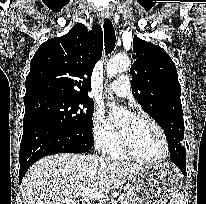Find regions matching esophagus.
Returning a JSON list of instances; mask_svg holds the SVG:
<instances>
[{"label": "esophagus", "instance_id": "obj_1", "mask_svg": "<svg viewBox=\"0 0 206 204\" xmlns=\"http://www.w3.org/2000/svg\"><path fill=\"white\" fill-rule=\"evenodd\" d=\"M101 17L102 18H109L110 17V13L108 11H104L101 13Z\"/></svg>", "mask_w": 206, "mask_h": 204}]
</instances>
